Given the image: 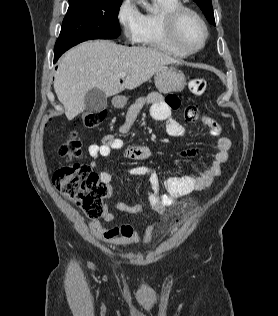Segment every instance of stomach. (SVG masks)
<instances>
[{
    "mask_svg": "<svg viewBox=\"0 0 278 316\" xmlns=\"http://www.w3.org/2000/svg\"><path fill=\"white\" fill-rule=\"evenodd\" d=\"M185 85V75L175 67L164 66L155 74V86L161 93L180 92ZM112 103L116 108H123L127 103V98L116 96Z\"/></svg>",
    "mask_w": 278,
    "mask_h": 316,
    "instance_id": "1",
    "label": "stomach"
}]
</instances>
